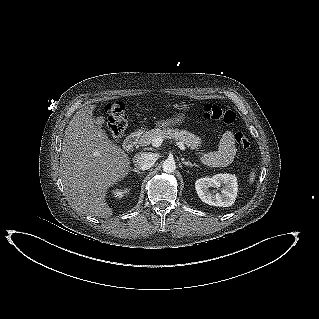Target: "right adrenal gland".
<instances>
[{
  "instance_id": "2a0ac1e0",
  "label": "right adrenal gland",
  "mask_w": 319,
  "mask_h": 319,
  "mask_svg": "<svg viewBox=\"0 0 319 319\" xmlns=\"http://www.w3.org/2000/svg\"><path fill=\"white\" fill-rule=\"evenodd\" d=\"M133 172H136L137 174H143L144 172L140 171L139 169H132Z\"/></svg>"
}]
</instances>
